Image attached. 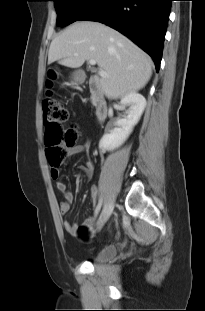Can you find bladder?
<instances>
[{"instance_id": "1", "label": "bladder", "mask_w": 205, "mask_h": 311, "mask_svg": "<svg viewBox=\"0 0 205 311\" xmlns=\"http://www.w3.org/2000/svg\"><path fill=\"white\" fill-rule=\"evenodd\" d=\"M119 251L117 245H107L94 252L90 257L93 262L103 263L113 260Z\"/></svg>"}]
</instances>
